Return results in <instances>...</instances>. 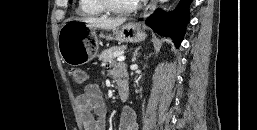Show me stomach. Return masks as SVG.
<instances>
[{
	"mask_svg": "<svg viewBox=\"0 0 257 130\" xmlns=\"http://www.w3.org/2000/svg\"><path fill=\"white\" fill-rule=\"evenodd\" d=\"M120 42L137 43L145 40L146 33L140 24L128 22L113 30V36ZM94 39L95 42H92ZM58 50L62 60L71 66L82 65L93 60L98 53V40L95 28H91L79 20H68L60 28L58 35Z\"/></svg>",
	"mask_w": 257,
	"mask_h": 130,
	"instance_id": "stomach-1",
	"label": "stomach"
}]
</instances>
